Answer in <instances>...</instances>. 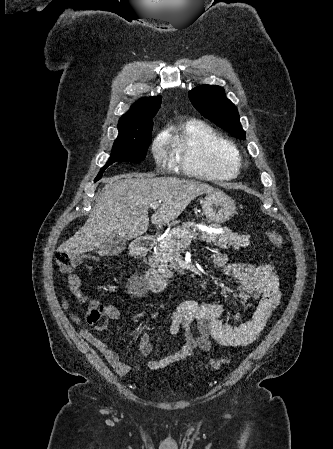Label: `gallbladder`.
<instances>
[{
	"instance_id": "1",
	"label": "gallbladder",
	"mask_w": 333,
	"mask_h": 449,
	"mask_svg": "<svg viewBox=\"0 0 333 449\" xmlns=\"http://www.w3.org/2000/svg\"><path fill=\"white\" fill-rule=\"evenodd\" d=\"M126 249V241L120 238L119 236H115L109 241L104 242L96 252L100 256H114L122 253Z\"/></svg>"
}]
</instances>
